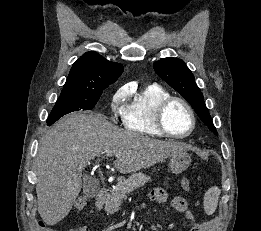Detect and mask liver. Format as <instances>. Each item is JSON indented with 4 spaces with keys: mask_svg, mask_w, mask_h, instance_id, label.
<instances>
[{
    "mask_svg": "<svg viewBox=\"0 0 261 231\" xmlns=\"http://www.w3.org/2000/svg\"><path fill=\"white\" fill-rule=\"evenodd\" d=\"M186 150L181 142L120 129L100 114L72 113L60 119L40 141L36 157L38 212L47 225L65 218L81 191L87 162L103 152H114L115 168L126 174Z\"/></svg>",
    "mask_w": 261,
    "mask_h": 231,
    "instance_id": "1",
    "label": "liver"
}]
</instances>
